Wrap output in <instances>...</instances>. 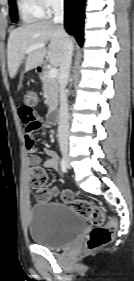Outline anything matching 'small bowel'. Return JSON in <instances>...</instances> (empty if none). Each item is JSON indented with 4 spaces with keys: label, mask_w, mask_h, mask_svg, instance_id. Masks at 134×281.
Segmentation results:
<instances>
[{
    "label": "small bowel",
    "mask_w": 134,
    "mask_h": 281,
    "mask_svg": "<svg viewBox=\"0 0 134 281\" xmlns=\"http://www.w3.org/2000/svg\"><path fill=\"white\" fill-rule=\"evenodd\" d=\"M18 113L25 127L24 141L28 151V163L31 169L43 166L52 172H58L59 159L57 153L52 149H45V154L48 156V159L43 162L41 157L37 154V149L34 144V133L41 130L42 134H44L46 125L43 120L34 111L33 107L27 106L26 104L19 107Z\"/></svg>",
    "instance_id": "small-bowel-1"
}]
</instances>
